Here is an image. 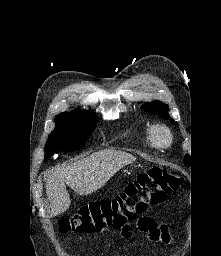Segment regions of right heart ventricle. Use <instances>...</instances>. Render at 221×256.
I'll list each match as a JSON object with an SVG mask.
<instances>
[{"instance_id":"1","label":"right heart ventricle","mask_w":221,"mask_h":256,"mask_svg":"<svg viewBox=\"0 0 221 256\" xmlns=\"http://www.w3.org/2000/svg\"><path fill=\"white\" fill-rule=\"evenodd\" d=\"M138 138L143 145L149 147H154L156 145L152 138L151 128L143 129Z\"/></svg>"}]
</instances>
